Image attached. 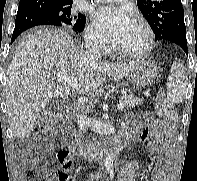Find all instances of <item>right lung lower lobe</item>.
<instances>
[{"mask_svg": "<svg viewBox=\"0 0 197 181\" xmlns=\"http://www.w3.org/2000/svg\"><path fill=\"white\" fill-rule=\"evenodd\" d=\"M51 25V26H64L59 19L49 14L45 10L30 5L20 4L16 20L15 29L12 35L11 43L25 30L34 26ZM77 34L81 32L74 30Z\"/></svg>", "mask_w": 197, "mask_h": 181, "instance_id": "obj_1", "label": "right lung lower lobe"}]
</instances>
